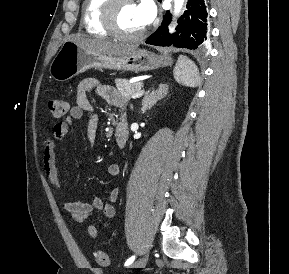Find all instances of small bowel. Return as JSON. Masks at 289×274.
Returning <instances> with one entry per match:
<instances>
[{
    "label": "small bowel",
    "instance_id": "obj_1",
    "mask_svg": "<svg viewBox=\"0 0 289 274\" xmlns=\"http://www.w3.org/2000/svg\"><path fill=\"white\" fill-rule=\"evenodd\" d=\"M96 91L104 100L116 106H123L124 99L117 90L109 85L100 83L95 78H86L82 80L76 89V105L70 109V115L62 122L55 124L52 136L49 137L44 146L43 168L49 181L57 190L62 199L61 207L67 212L71 220L76 223L84 222L90 215L95 212L101 213L100 218L90 224L87 233L90 239H95L98 235V225L106 224L108 220L114 217V203L119 196V188H113L107 197V200L93 198L88 201H80L72 197L62 186L61 172L57 164L56 146L68 134L69 128L73 121L83 118L85 113L89 114L86 128V138L90 145H94L97 139V116L93 111L92 104L89 100V93ZM120 173V167L117 164L107 166V174L116 177Z\"/></svg>",
    "mask_w": 289,
    "mask_h": 274
}]
</instances>
